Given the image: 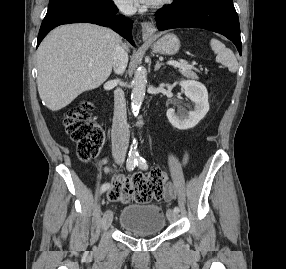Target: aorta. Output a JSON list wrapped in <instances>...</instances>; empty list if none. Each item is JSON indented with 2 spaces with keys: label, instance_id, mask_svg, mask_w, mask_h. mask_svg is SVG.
I'll list each match as a JSON object with an SVG mask.
<instances>
[{
  "label": "aorta",
  "instance_id": "obj_1",
  "mask_svg": "<svg viewBox=\"0 0 286 269\" xmlns=\"http://www.w3.org/2000/svg\"><path fill=\"white\" fill-rule=\"evenodd\" d=\"M147 84V72L145 68H139L136 70L133 79V90L131 94V106L134 113L139 111V108L145 97V90ZM136 146H131L130 155L131 157L137 156Z\"/></svg>",
  "mask_w": 286,
  "mask_h": 269
}]
</instances>
